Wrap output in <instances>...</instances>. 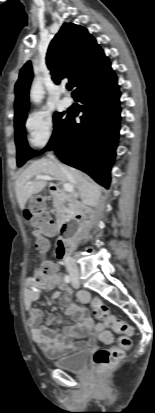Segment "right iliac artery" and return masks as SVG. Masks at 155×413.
Instances as JSON below:
<instances>
[{
  "label": "right iliac artery",
  "mask_w": 155,
  "mask_h": 413,
  "mask_svg": "<svg viewBox=\"0 0 155 413\" xmlns=\"http://www.w3.org/2000/svg\"><path fill=\"white\" fill-rule=\"evenodd\" d=\"M64 281H65L66 283H70V282H71V277H70L69 275H65V276H64Z\"/></svg>",
  "instance_id": "82829eb1"
}]
</instances>
